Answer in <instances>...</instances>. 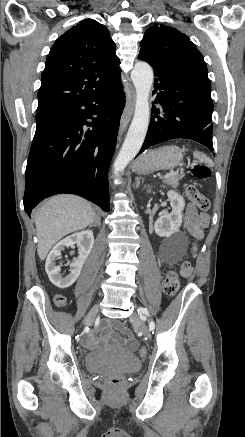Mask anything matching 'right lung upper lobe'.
Listing matches in <instances>:
<instances>
[{
    "instance_id": "obj_1",
    "label": "right lung upper lobe",
    "mask_w": 245,
    "mask_h": 437,
    "mask_svg": "<svg viewBox=\"0 0 245 437\" xmlns=\"http://www.w3.org/2000/svg\"><path fill=\"white\" fill-rule=\"evenodd\" d=\"M115 51L109 30L93 19H84L65 32L47 56L37 112L92 97L119 80Z\"/></svg>"
}]
</instances>
